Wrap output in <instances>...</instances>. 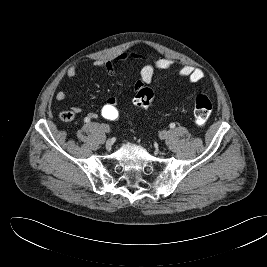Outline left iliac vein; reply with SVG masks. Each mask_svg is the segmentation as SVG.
I'll use <instances>...</instances> for the list:
<instances>
[{
  "label": "left iliac vein",
  "mask_w": 267,
  "mask_h": 267,
  "mask_svg": "<svg viewBox=\"0 0 267 267\" xmlns=\"http://www.w3.org/2000/svg\"><path fill=\"white\" fill-rule=\"evenodd\" d=\"M168 136H169V132L166 131V130L161 131L160 134H159V137H160V139H162V140H163V139H167Z\"/></svg>",
  "instance_id": "obj_1"
}]
</instances>
